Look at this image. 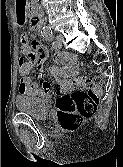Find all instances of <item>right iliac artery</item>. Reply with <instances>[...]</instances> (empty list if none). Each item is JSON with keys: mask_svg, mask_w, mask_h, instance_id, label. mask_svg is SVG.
Wrapping results in <instances>:
<instances>
[{"mask_svg": "<svg viewBox=\"0 0 123 167\" xmlns=\"http://www.w3.org/2000/svg\"><path fill=\"white\" fill-rule=\"evenodd\" d=\"M48 32V28L44 29L43 34Z\"/></svg>", "mask_w": 123, "mask_h": 167, "instance_id": "right-iliac-artery-1", "label": "right iliac artery"}]
</instances>
